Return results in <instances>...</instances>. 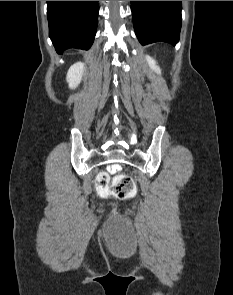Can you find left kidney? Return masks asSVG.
Here are the masks:
<instances>
[{"label": "left kidney", "mask_w": 233, "mask_h": 295, "mask_svg": "<svg viewBox=\"0 0 233 295\" xmlns=\"http://www.w3.org/2000/svg\"><path fill=\"white\" fill-rule=\"evenodd\" d=\"M146 59H147V62L149 64L150 68L152 70H154L155 72H157L158 74H160L161 70H160L159 66L156 65V61L153 58H151L150 56H146Z\"/></svg>", "instance_id": "5707ae66"}]
</instances>
